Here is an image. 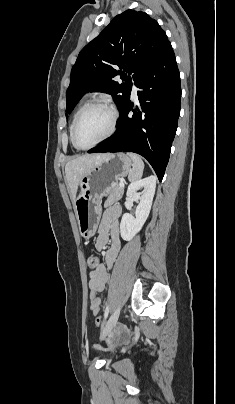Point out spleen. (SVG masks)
<instances>
[{
	"label": "spleen",
	"mask_w": 235,
	"mask_h": 404,
	"mask_svg": "<svg viewBox=\"0 0 235 404\" xmlns=\"http://www.w3.org/2000/svg\"><path fill=\"white\" fill-rule=\"evenodd\" d=\"M127 155L131 158V160L133 162V164H132L133 168L131 169L129 176H128L129 181L133 182L142 177L143 170H144V163H143L141 157L135 153L129 152Z\"/></svg>",
	"instance_id": "obj_1"
}]
</instances>
